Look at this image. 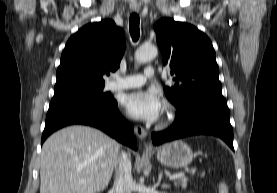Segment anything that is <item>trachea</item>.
I'll list each match as a JSON object with an SVG mask.
<instances>
[{
  "label": "trachea",
  "mask_w": 277,
  "mask_h": 193,
  "mask_svg": "<svg viewBox=\"0 0 277 193\" xmlns=\"http://www.w3.org/2000/svg\"><path fill=\"white\" fill-rule=\"evenodd\" d=\"M140 19L136 13H132L129 18V31L133 41H137L140 36V29H139Z\"/></svg>",
  "instance_id": "trachea-1"
}]
</instances>
